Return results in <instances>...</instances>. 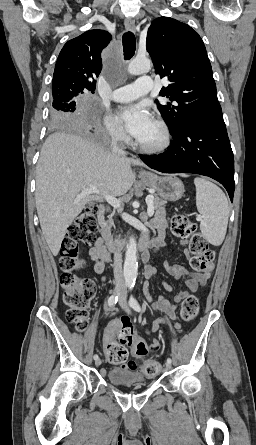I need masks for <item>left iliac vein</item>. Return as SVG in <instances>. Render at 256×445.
<instances>
[{"instance_id":"left-iliac-vein-1","label":"left iliac vein","mask_w":256,"mask_h":445,"mask_svg":"<svg viewBox=\"0 0 256 445\" xmlns=\"http://www.w3.org/2000/svg\"><path fill=\"white\" fill-rule=\"evenodd\" d=\"M119 304L122 307V309L125 310V312H127L128 314L131 313V311H130L128 305H127V294H126L125 291H122L120 293V295H119ZM165 368L166 369H170L171 368V364L166 362Z\"/></svg>"}]
</instances>
